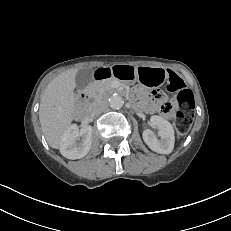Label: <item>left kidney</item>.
Returning a JSON list of instances; mask_svg holds the SVG:
<instances>
[{"instance_id":"1","label":"left kidney","mask_w":231,"mask_h":231,"mask_svg":"<svg viewBox=\"0 0 231 231\" xmlns=\"http://www.w3.org/2000/svg\"><path fill=\"white\" fill-rule=\"evenodd\" d=\"M150 125L158 129V136L153 131H143V139L148 147L160 154H170L174 148L175 136L173 126L169 121L160 116H151Z\"/></svg>"}]
</instances>
